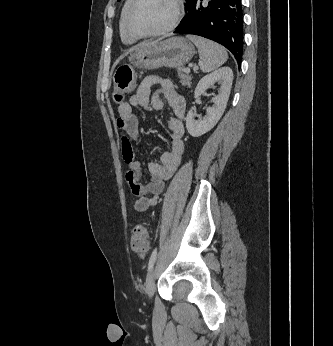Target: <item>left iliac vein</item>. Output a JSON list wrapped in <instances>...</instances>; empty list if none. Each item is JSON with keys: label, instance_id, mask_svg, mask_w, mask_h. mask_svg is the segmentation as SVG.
Wrapping results in <instances>:
<instances>
[{"label": "left iliac vein", "instance_id": "left-iliac-vein-1", "mask_svg": "<svg viewBox=\"0 0 333 346\" xmlns=\"http://www.w3.org/2000/svg\"><path fill=\"white\" fill-rule=\"evenodd\" d=\"M157 273V266L153 267L149 272L147 280H146V293L149 298H152L155 292V278Z\"/></svg>", "mask_w": 333, "mask_h": 346}]
</instances>
